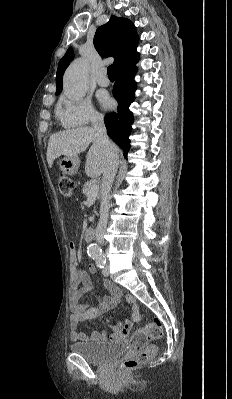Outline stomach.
<instances>
[{
	"mask_svg": "<svg viewBox=\"0 0 232 399\" xmlns=\"http://www.w3.org/2000/svg\"><path fill=\"white\" fill-rule=\"evenodd\" d=\"M59 170L63 172V174H67V176H73V174H77L78 168L80 166V160L78 156H72V158H62L60 162H58Z\"/></svg>",
	"mask_w": 232,
	"mask_h": 399,
	"instance_id": "1",
	"label": "stomach"
}]
</instances>
